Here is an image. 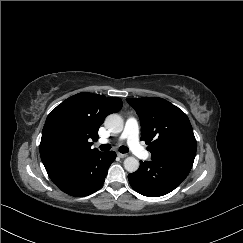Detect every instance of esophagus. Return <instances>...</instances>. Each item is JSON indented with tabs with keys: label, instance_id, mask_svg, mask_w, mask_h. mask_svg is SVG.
Listing matches in <instances>:
<instances>
[{
	"label": "esophagus",
	"instance_id": "34e87169",
	"mask_svg": "<svg viewBox=\"0 0 243 243\" xmlns=\"http://www.w3.org/2000/svg\"><path fill=\"white\" fill-rule=\"evenodd\" d=\"M117 155H118L120 158H126V157H127V154H123V153H117Z\"/></svg>",
	"mask_w": 243,
	"mask_h": 243
}]
</instances>
